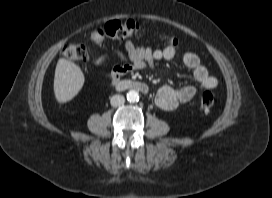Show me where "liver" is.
I'll return each instance as SVG.
<instances>
[{
  "instance_id": "1",
  "label": "liver",
  "mask_w": 272,
  "mask_h": 198,
  "mask_svg": "<svg viewBox=\"0 0 272 198\" xmlns=\"http://www.w3.org/2000/svg\"><path fill=\"white\" fill-rule=\"evenodd\" d=\"M84 75L78 65L70 60L60 58L54 77V94L59 103L72 100L84 84Z\"/></svg>"
}]
</instances>
